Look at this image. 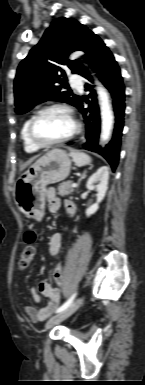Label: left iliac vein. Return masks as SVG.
Returning a JSON list of instances; mask_svg holds the SVG:
<instances>
[{
    "mask_svg": "<svg viewBox=\"0 0 145 385\" xmlns=\"http://www.w3.org/2000/svg\"><path fill=\"white\" fill-rule=\"evenodd\" d=\"M83 302V298L79 297L76 299L68 308L63 310L62 312H59L57 315L51 317L45 325L46 329H50L56 324L60 323L61 321L67 319L69 316H71L74 312L78 310V308L81 306Z\"/></svg>",
    "mask_w": 145,
    "mask_h": 385,
    "instance_id": "left-iliac-vein-1",
    "label": "left iliac vein"
}]
</instances>
